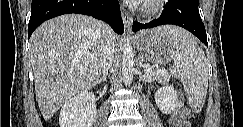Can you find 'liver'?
Listing matches in <instances>:
<instances>
[{
    "instance_id": "1",
    "label": "liver",
    "mask_w": 243,
    "mask_h": 127,
    "mask_svg": "<svg viewBox=\"0 0 243 127\" xmlns=\"http://www.w3.org/2000/svg\"><path fill=\"white\" fill-rule=\"evenodd\" d=\"M105 28L95 18L66 14L44 22L32 34L29 52L36 100L45 120L97 84L109 36ZM110 39L116 44L118 38L112 33Z\"/></svg>"
}]
</instances>
